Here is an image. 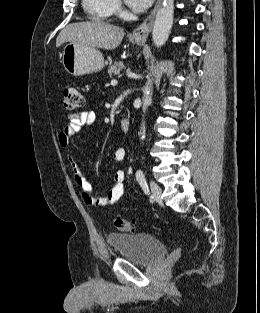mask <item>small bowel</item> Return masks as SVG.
I'll list each match as a JSON object with an SVG mask.
<instances>
[{
	"mask_svg": "<svg viewBox=\"0 0 260 313\" xmlns=\"http://www.w3.org/2000/svg\"><path fill=\"white\" fill-rule=\"evenodd\" d=\"M97 122V116L93 111H82L73 113L68 117V124L57 135L58 145L66 148L72 137L78 133L82 127L92 126ZM126 151L123 148L116 149L113 153L115 162L125 160ZM68 163L73 172L74 181L81 190L83 201L89 206H110L115 204L125 192V173L118 171L114 176L113 186L108 195L96 197L91 184L81 173L79 166L72 156L68 157Z\"/></svg>",
	"mask_w": 260,
	"mask_h": 313,
	"instance_id": "obj_1",
	"label": "small bowel"
}]
</instances>
